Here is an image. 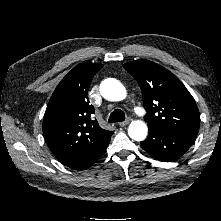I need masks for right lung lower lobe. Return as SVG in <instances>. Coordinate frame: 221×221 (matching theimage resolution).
I'll return each instance as SVG.
<instances>
[{
	"label": "right lung lower lobe",
	"instance_id": "98d812e1",
	"mask_svg": "<svg viewBox=\"0 0 221 221\" xmlns=\"http://www.w3.org/2000/svg\"><path fill=\"white\" fill-rule=\"evenodd\" d=\"M109 142L107 144H105L102 148H100L98 151L93 153L92 155L88 156L87 158H85V159H83V160H81V161H79L69 167H71L73 169H77V170L87 169L92 164H94L105 153Z\"/></svg>",
	"mask_w": 221,
	"mask_h": 221
}]
</instances>
